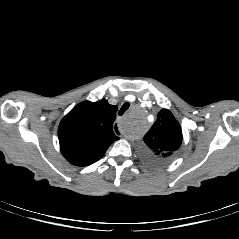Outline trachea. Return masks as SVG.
Wrapping results in <instances>:
<instances>
[{
  "label": "trachea",
  "instance_id": "1",
  "mask_svg": "<svg viewBox=\"0 0 239 239\" xmlns=\"http://www.w3.org/2000/svg\"><path fill=\"white\" fill-rule=\"evenodd\" d=\"M130 107V104L128 102L124 103L119 110L118 114L121 116L124 114V112Z\"/></svg>",
  "mask_w": 239,
  "mask_h": 239
}]
</instances>
